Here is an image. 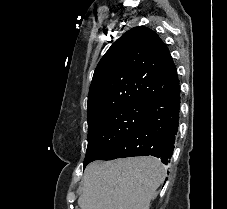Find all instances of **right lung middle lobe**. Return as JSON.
Instances as JSON below:
<instances>
[{
  "label": "right lung middle lobe",
  "mask_w": 227,
  "mask_h": 209,
  "mask_svg": "<svg viewBox=\"0 0 227 209\" xmlns=\"http://www.w3.org/2000/svg\"><path fill=\"white\" fill-rule=\"evenodd\" d=\"M102 111L88 119V146L84 167L100 160L142 121L147 104L124 98L105 99Z\"/></svg>",
  "instance_id": "obj_1"
}]
</instances>
